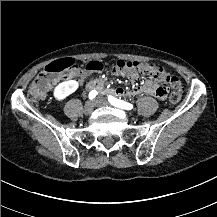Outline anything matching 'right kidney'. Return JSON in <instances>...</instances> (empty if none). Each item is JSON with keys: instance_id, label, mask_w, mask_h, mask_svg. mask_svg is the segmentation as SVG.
<instances>
[{"instance_id": "obj_1", "label": "right kidney", "mask_w": 217, "mask_h": 217, "mask_svg": "<svg viewBox=\"0 0 217 217\" xmlns=\"http://www.w3.org/2000/svg\"><path fill=\"white\" fill-rule=\"evenodd\" d=\"M78 82L75 80H70L67 82H63L57 86V99L61 100L64 99L67 95L73 93L78 88Z\"/></svg>"}]
</instances>
